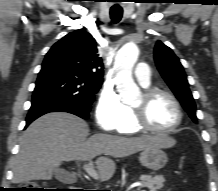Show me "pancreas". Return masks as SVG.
Segmentation results:
<instances>
[{
  "mask_svg": "<svg viewBox=\"0 0 218 191\" xmlns=\"http://www.w3.org/2000/svg\"><path fill=\"white\" fill-rule=\"evenodd\" d=\"M142 187H147L150 191L160 190L165 182V178L161 175L151 176V175H142L140 177Z\"/></svg>",
  "mask_w": 218,
  "mask_h": 191,
  "instance_id": "pancreas-1",
  "label": "pancreas"
}]
</instances>
